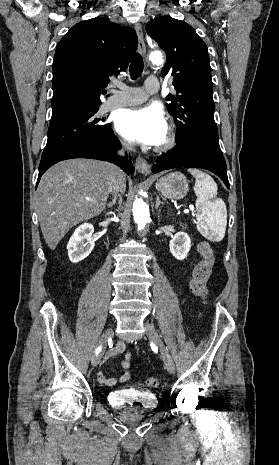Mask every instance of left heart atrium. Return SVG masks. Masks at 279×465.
I'll return each mask as SVG.
<instances>
[{
  "instance_id": "1",
  "label": "left heart atrium",
  "mask_w": 279,
  "mask_h": 465,
  "mask_svg": "<svg viewBox=\"0 0 279 465\" xmlns=\"http://www.w3.org/2000/svg\"><path fill=\"white\" fill-rule=\"evenodd\" d=\"M118 132L130 141L158 145L167 133V122L156 106L125 110L116 120Z\"/></svg>"
}]
</instances>
